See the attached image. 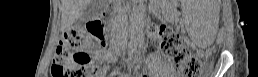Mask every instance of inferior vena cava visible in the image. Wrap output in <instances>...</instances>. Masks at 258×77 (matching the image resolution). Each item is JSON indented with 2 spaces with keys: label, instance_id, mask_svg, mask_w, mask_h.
<instances>
[{
  "label": "inferior vena cava",
  "instance_id": "602c4592",
  "mask_svg": "<svg viewBox=\"0 0 258 77\" xmlns=\"http://www.w3.org/2000/svg\"><path fill=\"white\" fill-rule=\"evenodd\" d=\"M118 21L121 25H124L125 24V12L123 9H120L119 10V13H118Z\"/></svg>",
  "mask_w": 258,
  "mask_h": 77
}]
</instances>
